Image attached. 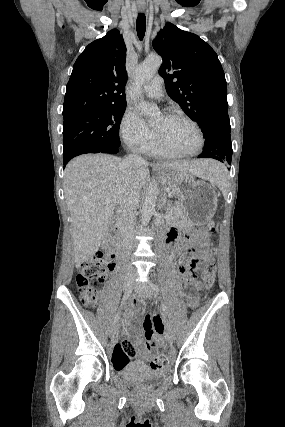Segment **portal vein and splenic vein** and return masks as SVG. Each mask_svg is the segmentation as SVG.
Returning <instances> with one entry per match:
<instances>
[{
    "label": "portal vein and splenic vein",
    "instance_id": "1",
    "mask_svg": "<svg viewBox=\"0 0 285 427\" xmlns=\"http://www.w3.org/2000/svg\"><path fill=\"white\" fill-rule=\"evenodd\" d=\"M165 218H170V215H169V214H166V215H165Z\"/></svg>",
    "mask_w": 285,
    "mask_h": 427
}]
</instances>
